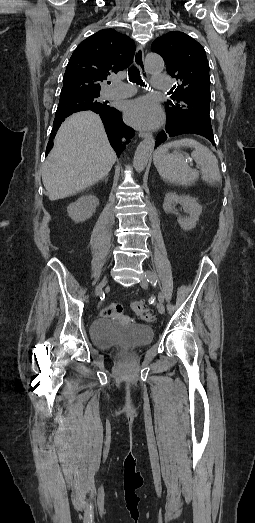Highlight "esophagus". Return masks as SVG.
Segmentation results:
<instances>
[{
    "instance_id": "obj_1",
    "label": "esophagus",
    "mask_w": 255,
    "mask_h": 523,
    "mask_svg": "<svg viewBox=\"0 0 255 523\" xmlns=\"http://www.w3.org/2000/svg\"><path fill=\"white\" fill-rule=\"evenodd\" d=\"M134 63L136 65V67H138V69H140L142 72L146 71L145 63H144V50L141 47V45H139L135 50ZM150 136H151V134L147 131L139 132V137H141V138H147Z\"/></svg>"
}]
</instances>
